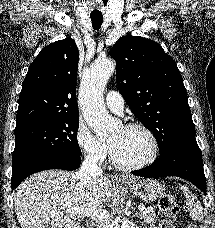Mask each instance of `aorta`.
Listing matches in <instances>:
<instances>
[{"instance_id":"762f6f07","label":"aorta","mask_w":215,"mask_h":228,"mask_svg":"<svg viewBox=\"0 0 215 228\" xmlns=\"http://www.w3.org/2000/svg\"><path fill=\"white\" fill-rule=\"evenodd\" d=\"M115 70L113 60H97L81 84L80 110L96 136H106L112 130V120L103 104L102 92Z\"/></svg>"}]
</instances>
